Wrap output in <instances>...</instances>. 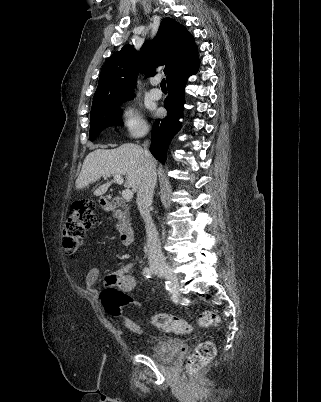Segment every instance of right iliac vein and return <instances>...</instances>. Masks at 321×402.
I'll list each match as a JSON object with an SVG mask.
<instances>
[{
    "label": "right iliac vein",
    "instance_id": "63e3f726",
    "mask_svg": "<svg viewBox=\"0 0 321 402\" xmlns=\"http://www.w3.org/2000/svg\"><path fill=\"white\" fill-rule=\"evenodd\" d=\"M156 271L167 278L171 283H173L175 286H178L179 284V279L176 273L173 271V269L169 266H160L156 268Z\"/></svg>",
    "mask_w": 321,
    "mask_h": 402
}]
</instances>
